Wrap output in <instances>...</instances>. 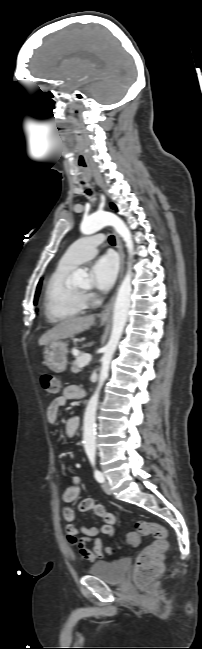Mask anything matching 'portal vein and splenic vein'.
<instances>
[{
  "label": "portal vein and splenic vein",
  "instance_id": "18ae733b",
  "mask_svg": "<svg viewBox=\"0 0 202 649\" xmlns=\"http://www.w3.org/2000/svg\"><path fill=\"white\" fill-rule=\"evenodd\" d=\"M78 361H79V366L81 368H83V367H85V366H87L89 364V362L91 361V356L89 354H85V355L81 356L78 359Z\"/></svg>",
  "mask_w": 202,
  "mask_h": 649
}]
</instances>
